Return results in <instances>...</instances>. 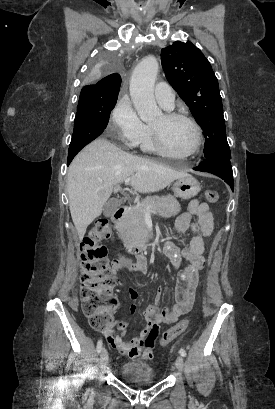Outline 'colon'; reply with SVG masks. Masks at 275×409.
<instances>
[{"label": "colon", "mask_w": 275, "mask_h": 409, "mask_svg": "<svg viewBox=\"0 0 275 409\" xmlns=\"http://www.w3.org/2000/svg\"><path fill=\"white\" fill-rule=\"evenodd\" d=\"M205 199L209 203L217 202L218 192L206 191ZM109 237L108 222L98 220L79 246L83 270L80 288L81 308L92 330H107L108 325H113V312L122 308L120 299L113 293L118 280L113 275L115 268L112 264L123 265L125 258L113 256L111 262L106 258L105 241ZM188 324L189 319L185 317L171 326L161 335L160 346L170 344L187 329Z\"/></svg>", "instance_id": "obj_1"}]
</instances>
